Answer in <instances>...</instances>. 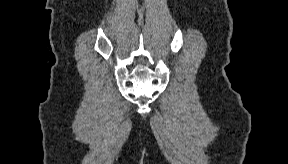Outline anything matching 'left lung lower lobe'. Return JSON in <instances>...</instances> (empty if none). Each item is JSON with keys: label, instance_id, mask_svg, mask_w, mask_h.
<instances>
[{"label": "left lung lower lobe", "instance_id": "1", "mask_svg": "<svg viewBox=\"0 0 288 164\" xmlns=\"http://www.w3.org/2000/svg\"><path fill=\"white\" fill-rule=\"evenodd\" d=\"M251 86L254 88H261L264 85L265 77L261 70L253 69L250 74Z\"/></svg>", "mask_w": 288, "mask_h": 164}]
</instances>
